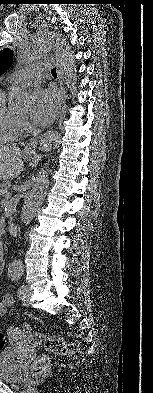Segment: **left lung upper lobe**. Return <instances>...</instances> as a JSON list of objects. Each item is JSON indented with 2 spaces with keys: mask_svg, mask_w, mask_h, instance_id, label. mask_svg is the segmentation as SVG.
<instances>
[{
  "mask_svg": "<svg viewBox=\"0 0 153 393\" xmlns=\"http://www.w3.org/2000/svg\"><path fill=\"white\" fill-rule=\"evenodd\" d=\"M13 53L6 48L0 51V75L3 74L12 63Z\"/></svg>",
  "mask_w": 153,
  "mask_h": 393,
  "instance_id": "obj_1",
  "label": "left lung upper lobe"
}]
</instances>
